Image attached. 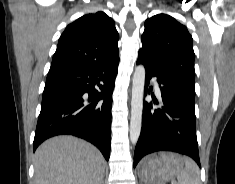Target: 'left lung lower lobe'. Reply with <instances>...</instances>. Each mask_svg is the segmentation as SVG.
<instances>
[{
	"label": "left lung lower lobe",
	"instance_id": "0a47b994",
	"mask_svg": "<svg viewBox=\"0 0 235 184\" xmlns=\"http://www.w3.org/2000/svg\"><path fill=\"white\" fill-rule=\"evenodd\" d=\"M137 64L145 66V95L150 79L157 77L162 106L153 110L152 102L143 103L142 129L135 148L134 167L143 156L156 151L190 156L201 167L195 126V97L166 74L155 70L144 57H139Z\"/></svg>",
	"mask_w": 235,
	"mask_h": 184
}]
</instances>
